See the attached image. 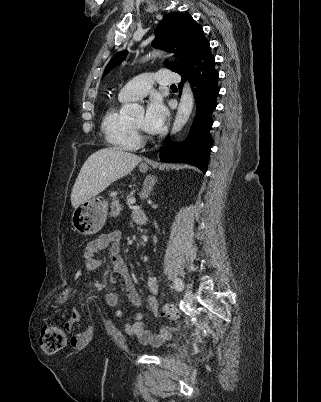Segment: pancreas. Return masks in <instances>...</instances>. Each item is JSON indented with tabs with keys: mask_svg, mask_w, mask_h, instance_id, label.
I'll use <instances>...</instances> for the list:
<instances>
[{
	"mask_svg": "<svg viewBox=\"0 0 321 402\" xmlns=\"http://www.w3.org/2000/svg\"><path fill=\"white\" fill-rule=\"evenodd\" d=\"M110 208H111L110 212L111 217L119 216L120 212L123 210V206L120 205L119 200L115 196H113L111 199Z\"/></svg>",
	"mask_w": 321,
	"mask_h": 402,
	"instance_id": "pancreas-1",
	"label": "pancreas"
}]
</instances>
